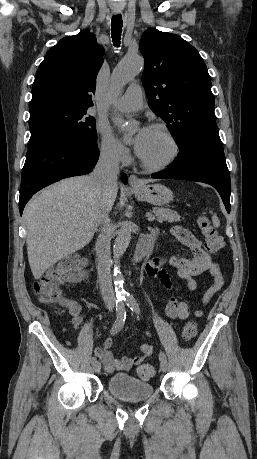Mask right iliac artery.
Instances as JSON below:
<instances>
[{
  "instance_id": "1",
  "label": "right iliac artery",
  "mask_w": 257,
  "mask_h": 459,
  "mask_svg": "<svg viewBox=\"0 0 257 459\" xmlns=\"http://www.w3.org/2000/svg\"><path fill=\"white\" fill-rule=\"evenodd\" d=\"M123 297L119 296L116 299V321L111 329V334H117L123 327L125 319H126V310H125V305L123 302ZM90 362L92 364L97 362L96 357H91Z\"/></svg>"
}]
</instances>
